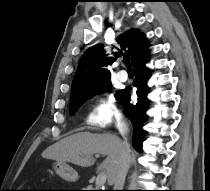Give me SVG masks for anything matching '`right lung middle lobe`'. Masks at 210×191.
Listing matches in <instances>:
<instances>
[{"label":"right lung middle lobe","instance_id":"obj_1","mask_svg":"<svg viewBox=\"0 0 210 191\" xmlns=\"http://www.w3.org/2000/svg\"><path fill=\"white\" fill-rule=\"evenodd\" d=\"M110 84L111 82H107L105 84H103L102 86L86 93V94H83V95H80L74 99H71L70 100V114L71 115H74L76 113V111L78 110L79 106L84 103L88 98L92 97L93 95L95 94H98V93H101V92H104L106 91L107 89L110 88ZM120 91L117 92V95Z\"/></svg>","mask_w":210,"mask_h":191}]
</instances>
